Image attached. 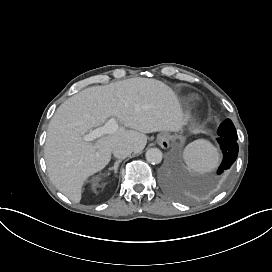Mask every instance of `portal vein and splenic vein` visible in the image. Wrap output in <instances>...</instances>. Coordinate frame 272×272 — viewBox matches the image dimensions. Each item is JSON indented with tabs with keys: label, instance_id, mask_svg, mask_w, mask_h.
I'll use <instances>...</instances> for the list:
<instances>
[{
	"label": "portal vein and splenic vein",
	"instance_id": "portal-vein-and-splenic-vein-1",
	"mask_svg": "<svg viewBox=\"0 0 272 272\" xmlns=\"http://www.w3.org/2000/svg\"><path fill=\"white\" fill-rule=\"evenodd\" d=\"M118 130V124L114 119H110L103 127L97 128L88 134H83L82 138L86 142H90L104 134H113Z\"/></svg>",
	"mask_w": 272,
	"mask_h": 272
}]
</instances>
